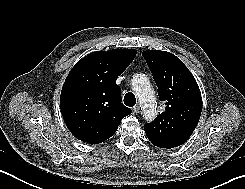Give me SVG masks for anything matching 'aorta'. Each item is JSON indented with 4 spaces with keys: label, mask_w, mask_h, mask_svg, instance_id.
I'll use <instances>...</instances> for the list:
<instances>
[{
    "label": "aorta",
    "mask_w": 245,
    "mask_h": 189,
    "mask_svg": "<svg viewBox=\"0 0 245 189\" xmlns=\"http://www.w3.org/2000/svg\"><path fill=\"white\" fill-rule=\"evenodd\" d=\"M131 83L142 108L143 117L152 121L156 116V98L148 78L144 74H136Z\"/></svg>",
    "instance_id": "aorta-1"
}]
</instances>
